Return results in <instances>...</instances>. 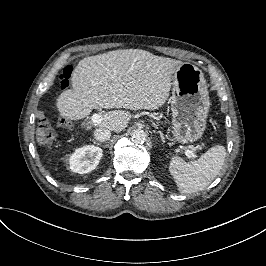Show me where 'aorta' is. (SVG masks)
<instances>
[{"label":"aorta","mask_w":266,"mask_h":266,"mask_svg":"<svg viewBox=\"0 0 266 266\" xmlns=\"http://www.w3.org/2000/svg\"><path fill=\"white\" fill-rule=\"evenodd\" d=\"M147 134L144 130L136 129L131 132V140L135 144H142L145 142Z\"/></svg>","instance_id":"obj_1"}]
</instances>
